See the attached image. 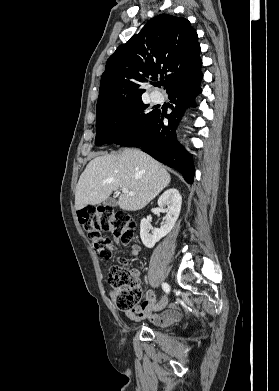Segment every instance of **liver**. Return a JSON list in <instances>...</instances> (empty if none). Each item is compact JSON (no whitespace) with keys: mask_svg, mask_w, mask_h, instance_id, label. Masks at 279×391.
Segmentation results:
<instances>
[{"mask_svg":"<svg viewBox=\"0 0 279 391\" xmlns=\"http://www.w3.org/2000/svg\"><path fill=\"white\" fill-rule=\"evenodd\" d=\"M171 176L154 158L139 149L126 148L119 154L97 156L81 174L75 191V207L97 205L118 188H127L133 196L121 194L117 204L125 211H138L169 185Z\"/></svg>","mask_w":279,"mask_h":391,"instance_id":"liver-1","label":"liver"}]
</instances>
